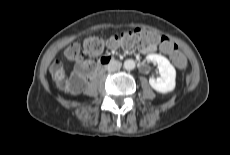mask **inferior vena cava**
Wrapping results in <instances>:
<instances>
[{"mask_svg": "<svg viewBox=\"0 0 230 155\" xmlns=\"http://www.w3.org/2000/svg\"><path fill=\"white\" fill-rule=\"evenodd\" d=\"M106 68L109 72H115L121 68V63L117 60H113L107 65Z\"/></svg>", "mask_w": 230, "mask_h": 155, "instance_id": "1", "label": "inferior vena cava"}]
</instances>
